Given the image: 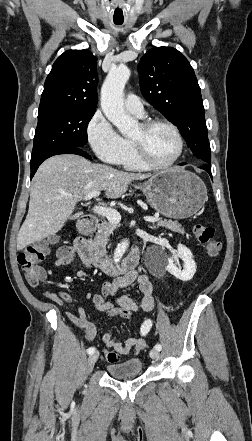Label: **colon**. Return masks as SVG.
Returning a JSON list of instances; mask_svg holds the SVG:
<instances>
[{"instance_id": "1", "label": "colon", "mask_w": 252, "mask_h": 441, "mask_svg": "<svg viewBox=\"0 0 252 441\" xmlns=\"http://www.w3.org/2000/svg\"><path fill=\"white\" fill-rule=\"evenodd\" d=\"M194 237L204 245L206 253L210 257H215L221 250V242L215 238V230L206 225L196 224L193 226ZM52 239L44 240L25 247L18 254V263L21 266L25 278L29 285L38 286L46 279V271L41 266V262L47 257L50 251ZM138 306L135 303L125 305H112L105 310L110 318H122L131 320L137 312ZM105 358L109 363H116L120 355L115 351H107Z\"/></svg>"}]
</instances>
